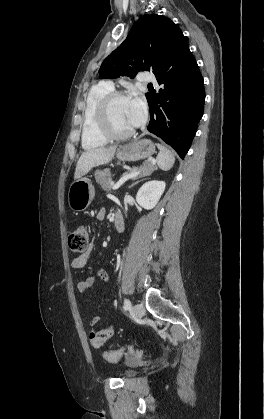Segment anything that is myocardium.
Instances as JSON below:
<instances>
[{
    "mask_svg": "<svg viewBox=\"0 0 264 419\" xmlns=\"http://www.w3.org/2000/svg\"><path fill=\"white\" fill-rule=\"evenodd\" d=\"M118 98H127V95L123 91H111L100 100L97 107L98 128L108 140L126 139L134 133L133 128L126 131H118L112 123L111 105Z\"/></svg>",
    "mask_w": 264,
    "mask_h": 419,
    "instance_id": "myocardium-1",
    "label": "myocardium"
}]
</instances>
